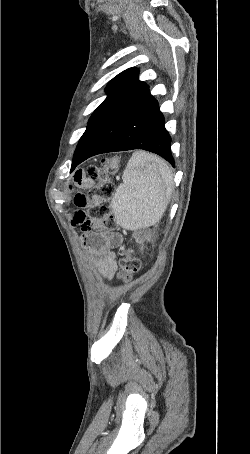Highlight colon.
I'll list each match as a JSON object with an SVG mask.
<instances>
[{"label":"colon","mask_w":250,"mask_h":454,"mask_svg":"<svg viewBox=\"0 0 250 454\" xmlns=\"http://www.w3.org/2000/svg\"><path fill=\"white\" fill-rule=\"evenodd\" d=\"M118 168L119 159L110 157L104 159L102 166H90L86 171V175L97 182L90 193L93 205L88 210L93 231L112 229L115 225L110 205L115 190L111 176L118 171ZM140 266V261L135 256L133 249H124L119 260V277L122 279L132 278L138 273Z\"/></svg>","instance_id":"obj_1"}]
</instances>
